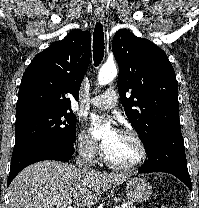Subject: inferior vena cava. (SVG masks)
I'll return each instance as SVG.
<instances>
[{"mask_svg": "<svg viewBox=\"0 0 199 208\" xmlns=\"http://www.w3.org/2000/svg\"><path fill=\"white\" fill-rule=\"evenodd\" d=\"M88 157L85 153L84 149L79 150V156L76 158V165L78 168L85 170V171H91L90 164L88 163Z\"/></svg>", "mask_w": 199, "mask_h": 208, "instance_id": "602c4592", "label": "inferior vena cava"}]
</instances>
